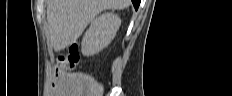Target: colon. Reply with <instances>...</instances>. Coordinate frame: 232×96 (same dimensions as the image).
<instances>
[{
  "label": "colon",
  "instance_id": "1",
  "mask_svg": "<svg viewBox=\"0 0 232 96\" xmlns=\"http://www.w3.org/2000/svg\"><path fill=\"white\" fill-rule=\"evenodd\" d=\"M80 60V54L76 44L69 47L68 52L57 60V67L60 69L73 70Z\"/></svg>",
  "mask_w": 232,
  "mask_h": 96
}]
</instances>
